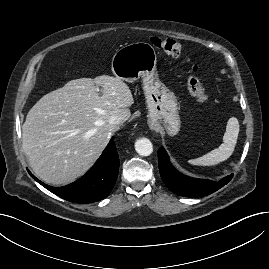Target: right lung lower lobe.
Returning a JSON list of instances; mask_svg holds the SVG:
<instances>
[{
  "instance_id": "obj_1",
  "label": "right lung lower lobe",
  "mask_w": 269,
  "mask_h": 269,
  "mask_svg": "<svg viewBox=\"0 0 269 269\" xmlns=\"http://www.w3.org/2000/svg\"><path fill=\"white\" fill-rule=\"evenodd\" d=\"M118 170L119 157L112 138L92 168L72 184L59 188L51 187L28 172L38 183L62 199L74 203H91L108 196L116 182Z\"/></svg>"
}]
</instances>
